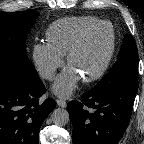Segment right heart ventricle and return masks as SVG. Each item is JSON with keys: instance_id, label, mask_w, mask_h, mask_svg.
I'll list each match as a JSON object with an SVG mask.
<instances>
[{"instance_id": "e07e8e85", "label": "right heart ventricle", "mask_w": 144, "mask_h": 144, "mask_svg": "<svg viewBox=\"0 0 144 144\" xmlns=\"http://www.w3.org/2000/svg\"><path fill=\"white\" fill-rule=\"evenodd\" d=\"M100 20L92 16L65 17L54 21L46 31L47 43L62 56L76 37L86 28Z\"/></svg>"}]
</instances>
